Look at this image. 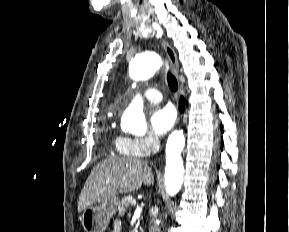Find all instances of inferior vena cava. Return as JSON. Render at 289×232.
Masks as SVG:
<instances>
[{
    "label": "inferior vena cava",
    "mask_w": 289,
    "mask_h": 232,
    "mask_svg": "<svg viewBox=\"0 0 289 232\" xmlns=\"http://www.w3.org/2000/svg\"><path fill=\"white\" fill-rule=\"evenodd\" d=\"M159 146H160V141L158 137L154 136L152 138L153 152H156L159 149ZM149 232H161L159 224L156 222V216H154V218H152V220L150 221Z\"/></svg>",
    "instance_id": "obj_1"
}]
</instances>
